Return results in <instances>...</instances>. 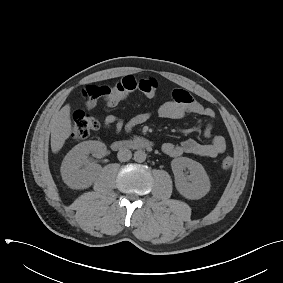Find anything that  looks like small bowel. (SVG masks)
Listing matches in <instances>:
<instances>
[{
	"instance_id": "1",
	"label": "small bowel",
	"mask_w": 283,
	"mask_h": 283,
	"mask_svg": "<svg viewBox=\"0 0 283 283\" xmlns=\"http://www.w3.org/2000/svg\"><path fill=\"white\" fill-rule=\"evenodd\" d=\"M109 86H88L85 90L86 106L88 108L95 107L97 100L106 98V92ZM115 104L107 103V106L113 107ZM157 114L159 117L170 120H180L188 114H194L205 118L212 119L215 116L213 109L203 106L188 91L176 89L172 93V100L162 104ZM152 117L151 112L139 113L128 121L116 115H107L104 119L106 128L113 127L117 133L131 132L139 125L146 123ZM212 124L207 123L204 128V136L210 141L208 143H200L195 139H186L180 143L166 142L162 145L163 152L170 157H178L183 154H191L202 158H214L222 154L226 150V141L224 137L212 135Z\"/></svg>"
}]
</instances>
